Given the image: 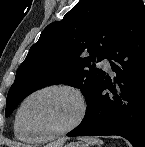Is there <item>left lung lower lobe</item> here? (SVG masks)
Wrapping results in <instances>:
<instances>
[{
  "label": "left lung lower lobe",
  "mask_w": 145,
  "mask_h": 147,
  "mask_svg": "<svg viewBox=\"0 0 145 147\" xmlns=\"http://www.w3.org/2000/svg\"><path fill=\"white\" fill-rule=\"evenodd\" d=\"M107 58L116 73L113 82L104 75L83 121L67 136L118 135L133 147H144L145 6L141 0H131Z\"/></svg>",
  "instance_id": "0a47b994"
}]
</instances>
